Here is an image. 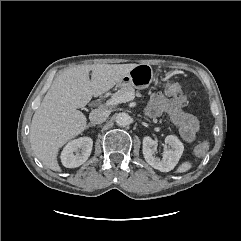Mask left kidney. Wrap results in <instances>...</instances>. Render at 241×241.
<instances>
[{"mask_svg": "<svg viewBox=\"0 0 241 241\" xmlns=\"http://www.w3.org/2000/svg\"><path fill=\"white\" fill-rule=\"evenodd\" d=\"M165 143L168 144L170 148L164 150L162 159H160L155 157L153 151V147L157 144L156 141L146 136L142 142V151L146 162L161 172H169L174 169L184 151L182 142L174 135H168L165 138Z\"/></svg>", "mask_w": 241, "mask_h": 241, "instance_id": "left-kidney-1", "label": "left kidney"}]
</instances>
